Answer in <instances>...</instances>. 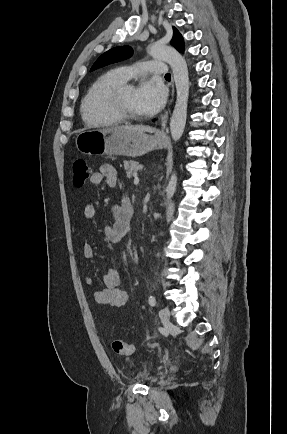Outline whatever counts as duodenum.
<instances>
[{
    "label": "duodenum",
    "instance_id": "duodenum-1",
    "mask_svg": "<svg viewBox=\"0 0 287 434\" xmlns=\"http://www.w3.org/2000/svg\"><path fill=\"white\" fill-rule=\"evenodd\" d=\"M126 206H127V211H126L127 219L129 222H131L134 215V208L131 203L127 204Z\"/></svg>",
    "mask_w": 287,
    "mask_h": 434
}]
</instances>
